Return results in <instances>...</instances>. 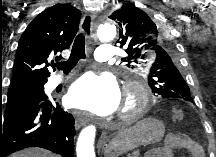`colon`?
<instances>
[{"instance_id": "colon-1", "label": "colon", "mask_w": 216, "mask_h": 157, "mask_svg": "<svg viewBox=\"0 0 216 157\" xmlns=\"http://www.w3.org/2000/svg\"><path fill=\"white\" fill-rule=\"evenodd\" d=\"M184 118V113L181 109H174L173 110V119L175 121H181Z\"/></svg>"}]
</instances>
